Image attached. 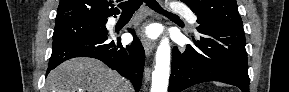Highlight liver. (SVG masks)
<instances>
[{"instance_id": "obj_1", "label": "liver", "mask_w": 289, "mask_h": 92, "mask_svg": "<svg viewBox=\"0 0 289 92\" xmlns=\"http://www.w3.org/2000/svg\"><path fill=\"white\" fill-rule=\"evenodd\" d=\"M45 92H132L127 80L99 60L70 59L52 70Z\"/></svg>"}]
</instances>
